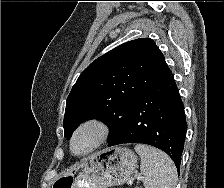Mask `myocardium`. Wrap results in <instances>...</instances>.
I'll list each match as a JSON object with an SVG mask.
<instances>
[{"label":"myocardium","instance_id":"1","mask_svg":"<svg viewBox=\"0 0 224 188\" xmlns=\"http://www.w3.org/2000/svg\"><path fill=\"white\" fill-rule=\"evenodd\" d=\"M86 128H94L97 131V138L93 145L82 153H75L73 150V143L76 136ZM111 132V128L109 123L100 117H91L84 121H82L73 131L72 136L70 138V151L75 156H85L93 151H95L98 147H100L109 137Z\"/></svg>","mask_w":224,"mask_h":188}]
</instances>
